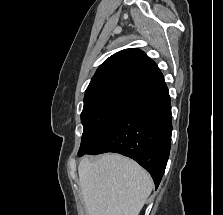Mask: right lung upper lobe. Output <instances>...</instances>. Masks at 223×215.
I'll return each mask as SVG.
<instances>
[{
	"instance_id": "obj_1",
	"label": "right lung upper lobe",
	"mask_w": 223,
	"mask_h": 215,
	"mask_svg": "<svg viewBox=\"0 0 223 215\" xmlns=\"http://www.w3.org/2000/svg\"><path fill=\"white\" fill-rule=\"evenodd\" d=\"M164 86V77L154 61L139 49H125L100 65L86 89L84 101L116 90L145 97Z\"/></svg>"
}]
</instances>
